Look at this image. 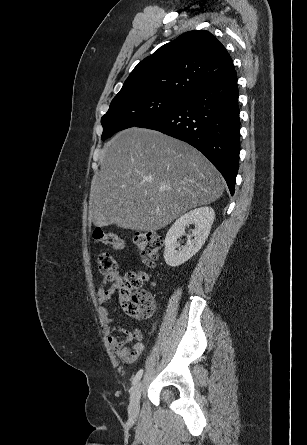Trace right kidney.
<instances>
[{
  "label": "right kidney",
  "instance_id": "obj_1",
  "mask_svg": "<svg viewBox=\"0 0 307 445\" xmlns=\"http://www.w3.org/2000/svg\"><path fill=\"white\" fill-rule=\"evenodd\" d=\"M214 218L215 214L211 206H201V208H194V210L186 212L175 220L164 241V259L169 267L183 265L200 251L211 231ZM189 225H194L195 229H193L192 235H188L186 245H180L177 243V239L185 235V229ZM177 247H179V251H176Z\"/></svg>",
  "mask_w": 307,
  "mask_h": 445
}]
</instances>
